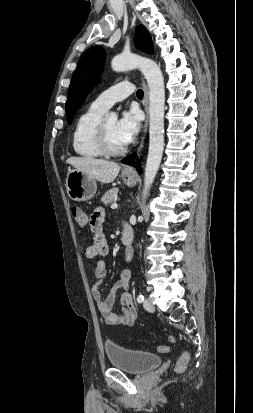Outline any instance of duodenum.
Returning <instances> with one entry per match:
<instances>
[{"label": "duodenum", "instance_id": "obj_1", "mask_svg": "<svg viewBox=\"0 0 253 413\" xmlns=\"http://www.w3.org/2000/svg\"><path fill=\"white\" fill-rule=\"evenodd\" d=\"M121 239L124 246L130 247L133 240V231L129 225H124Z\"/></svg>", "mask_w": 253, "mask_h": 413}]
</instances>
